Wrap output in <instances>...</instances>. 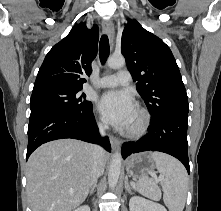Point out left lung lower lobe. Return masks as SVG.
I'll return each instance as SVG.
<instances>
[{
	"mask_svg": "<svg viewBox=\"0 0 221 211\" xmlns=\"http://www.w3.org/2000/svg\"><path fill=\"white\" fill-rule=\"evenodd\" d=\"M188 113L173 112L151 120L149 132L137 142H128L122 146V156L143 151H160L180 160L190 170L187 142Z\"/></svg>",
	"mask_w": 221,
	"mask_h": 211,
	"instance_id": "0a47b994",
	"label": "left lung lower lobe"
}]
</instances>
